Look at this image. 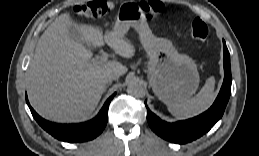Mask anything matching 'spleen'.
Returning <instances> with one entry per match:
<instances>
[{"label": "spleen", "mask_w": 259, "mask_h": 156, "mask_svg": "<svg viewBox=\"0 0 259 156\" xmlns=\"http://www.w3.org/2000/svg\"><path fill=\"white\" fill-rule=\"evenodd\" d=\"M214 87L215 79L210 77L196 96L177 104L168 105V111L179 119L190 118L202 113L214 101Z\"/></svg>", "instance_id": "spleen-1"}]
</instances>
